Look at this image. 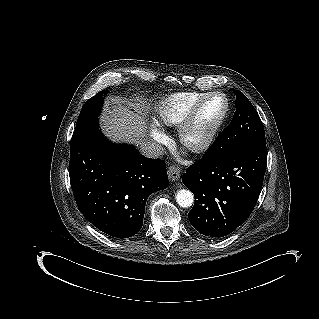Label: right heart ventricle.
I'll return each mask as SVG.
<instances>
[{
    "instance_id": "1",
    "label": "right heart ventricle",
    "mask_w": 319,
    "mask_h": 319,
    "mask_svg": "<svg viewBox=\"0 0 319 319\" xmlns=\"http://www.w3.org/2000/svg\"><path fill=\"white\" fill-rule=\"evenodd\" d=\"M205 95L206 93L196 91L168 95L159 102L154 117L161 126L177 127Z\"/></svg>"
}]
</instances>
